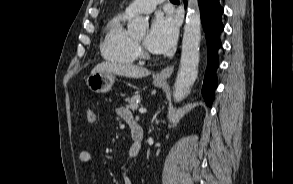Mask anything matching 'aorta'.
Wrapping results in <instances>:
<instances>
[{
  "label": "aorta",
  "instance_id": "762f6f07",
  "mask_svg": "<svg viewBox=\"0 0 293 184\" xmlns=\"http://www.w3.org/2000/svg\"><path fill=\"white\" fill-rule=\"evenodd\" d=\"M148 26L146 18L136 17L129 22L128 30L132 33H141L145 32ZM200 41L201 19L198 0H188L180 67L174 84L173 98L175 102H180L189 95L191 87L197 79Z\"/></svg>",
  "mask_w": 293,
  "mask_h": 184
}]
</instances>
